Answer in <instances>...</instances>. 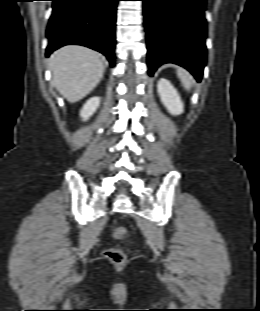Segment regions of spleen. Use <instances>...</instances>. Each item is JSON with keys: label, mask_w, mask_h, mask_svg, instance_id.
<instances>
[{"label": "spleen", "mask_w": 260, "mask_h": 311, "mask_svg": "<svg viewBox=\"0 0 260 311\" xmlns=\"http://www.w3.org/2000/svg\"><path fill=\"white\" fill-rule=\"evenodd\" d=\"M177 75L186 90H190L193 86L194 79L192 75L185 69L178 67Z\"/></svg>", "instance_id": "spleen-1"}]
</instances>
